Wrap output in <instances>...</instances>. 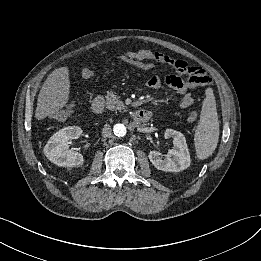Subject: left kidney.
<instances>
[{
    "label": "left kidney",
    "mask_w": 261,
    "mask_h": 261,
    "mask_svg": "<svg viewBox=\"0 0 261 261\" xmlns=\"http://www.w3.org/2000/svg\"><path fill=\"white\" fill-rule=\"evenodd\" d=\"M166 139H173V147L165 158L157 151L149 152V160L158 169L165 172H179L190 166L191 159L184 135L173 129H166Z\"/></svg>",
    "instance_id": "5707ae66"
}]
</instances>
